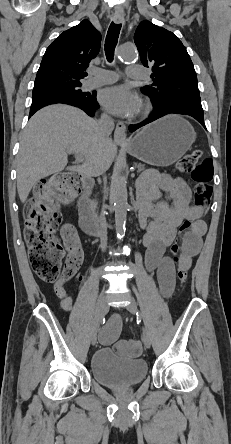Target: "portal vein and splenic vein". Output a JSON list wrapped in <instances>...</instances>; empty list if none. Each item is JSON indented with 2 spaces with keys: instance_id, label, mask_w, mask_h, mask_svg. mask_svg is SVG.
I'll list each match as a JSON object with an SVG mask.
<instances>
[{
  "instance_id": "1",
  "label": "portal vein and splenic vein",
  "mask_w": 231,
  "mask_h": 444,
  "mask_svg": "<svg viewBox=\"0 0 231 444\" xmlns=\"http://www.w3.org/2000/svg\"><path fill=\"white\" fill-rule=\"evenodd\" d=\"M77 159H78L79 161H83V157H82V156H77Z\"/></svg>"
}]
</instances>
